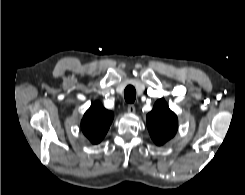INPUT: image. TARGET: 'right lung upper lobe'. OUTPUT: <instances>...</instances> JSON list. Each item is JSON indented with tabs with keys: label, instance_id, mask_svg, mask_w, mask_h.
Listing matches in <instances>:
<instances>
[{
	"label": "right lung upper lobe",
	"instance_id": "cb5924a9",
	"mask_svg": "<svg viewBox=\"0 0 245 195\" xmlns=\"http://www.w3.org/2000/svg\"><path fill=\"white\" fill-rule=\"evenodd\" d=\"M113 113L106 110L99 102L93 103L84 114L81 128L84 135L93 143H99L106 135L112 120Z\"/></svg>",
	"mask_w": 245,
	"mask_h": 195
}]
</instances>
